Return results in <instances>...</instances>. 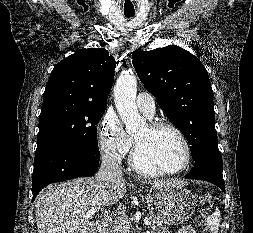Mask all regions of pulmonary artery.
<instances>
[{
    "label": "pulmonary artery",
    "instance_id": "1",
    "mask_svg": "<svg viewBox=\"0 0 253 233\" xmlns=\"http://www.w3.org/2000/svg\"><path fill=\"white\" fill-rule=\"evenodd\" d=\"M139 110L147 117L151 118L156 110V105L152 95L146 92L139 93L136 98Z\"/></svg>",
    "mask_w": 253,
    "mask_h": 233
}]
</instances>
